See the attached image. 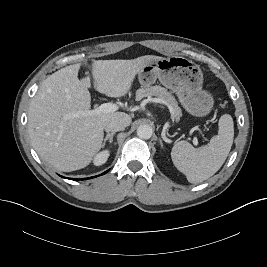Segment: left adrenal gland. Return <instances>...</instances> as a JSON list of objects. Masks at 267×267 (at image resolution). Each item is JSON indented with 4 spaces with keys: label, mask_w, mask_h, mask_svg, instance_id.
<instances>
[{
    "label": "left adrenal gland",
    "mask_w": 267,
    "mask_h": 267,
    "mask_svg": "<svg viewBox=\"0 0 267 267\" xmlns=\"http://www.w3.org/2000/svg\"><path fill=\"white\" fill-rule=\"evenodd\" d=\"M160 145H161V147L163 148V142H162V139H160Z\"/></svg>",
    "instance_id": "left-adrenal-gland-1"
}]
</instances>
